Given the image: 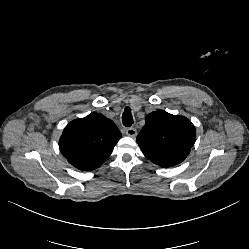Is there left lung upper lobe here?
<instances>
[{"label":"left lung upper lobe","instance_id":"obj_1","mask_svg":"<svg viewBox=\"0 0 249 249\" xmlns=\"http://www.w3.org/2000/svg\"><path fill=\"white\" fill-rule=\"evenodd\" d=\"M195 137L196 130L189 119L157 110L145 117L137 143L153 163L171 167L187 157Z\"/></svg>","mask_w":249,"mask_h":249}]
</instances>
